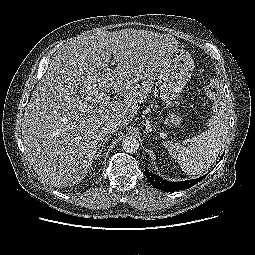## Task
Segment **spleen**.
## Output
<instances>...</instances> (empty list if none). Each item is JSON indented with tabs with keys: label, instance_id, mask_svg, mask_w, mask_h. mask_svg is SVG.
<instances>
[{
	"label": "spleen",
	"instance_id": "3e777b00",
	"mask_svg": "<svg viewBox=\"0 0 255 255\" xmlns=\"http://www.w3.org/2000/svg\"><path fill=\"white\" fill-rule=\"evenodd\" d=\"M227 135L228 127L222 120V113H215L210 128L189 139L187 146L171 141H165L164 146L185 173L198 175L216 161Z\"/></svg>",
	"mask_w": 255,
	"mask_h": 255
}]
</instances>
